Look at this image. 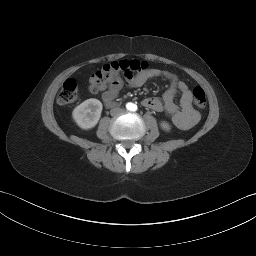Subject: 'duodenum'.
Listing matches in <instances>:
<instances>
[{
	"label": "duodenum",
	"mask_w": 256,
	"mask_h": 256,
	"mask_svg": "<svg viewBox=\"0 0 256 256\" xmlns=\"http://www.w3.org/2000/svg\"><path fill=\"white\" fill-rule=\"evenodd\" d=\"M104 102L106 103V106L109 108L115 106V103L111 99H105Z\"/></svg>",
	"instance_id": "1"
}]
</instances>
